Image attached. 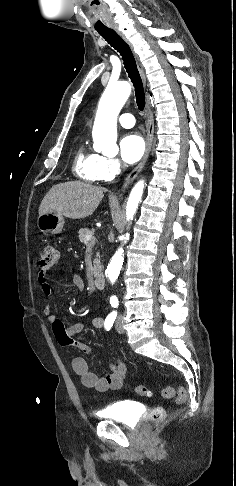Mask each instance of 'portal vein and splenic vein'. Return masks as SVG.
I'll use <instances>...</instances> for the list:
<instances>
[{"label": "portal vein and splenic vein", "mask_w": 236, "mask_h": 486, "mask_svg": "<svg viewBox=\"0 0 236 486\" xmlns=\"http://www.w3.org/2000/svg\"><path fill=\"white\" fill-rule=\"evenodd\" d=\"M85 240H86V241L91 240V236H86Z\"/></svg>", "instance_id": "portal-vein-and-splenic-vein-1"}]
</instances>
